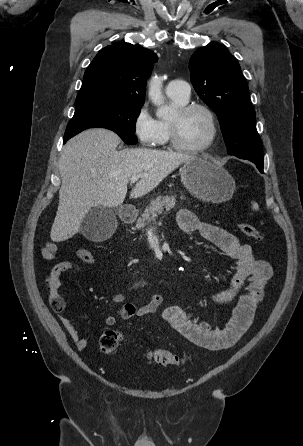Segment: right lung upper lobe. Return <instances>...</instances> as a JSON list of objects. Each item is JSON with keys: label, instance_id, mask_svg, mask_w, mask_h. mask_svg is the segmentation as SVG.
<instances>
[{"label": "right lung upper lobe", "instance_id": "right-lung-upper-lobe-1", "mask_svg": "<svg viewBox=\"0 0 303 446\" xmlns=\"http://www.w3.org/2000/svg\"><path fill=\"white\" fill-rule=\"evenodd\" d=\"M157 55L130 43L101 49L85 71L75 107L95 103L143 106L145 83Z\"/></svg>", "mask_w": 303, "mask_h": 446}]
</instances>
